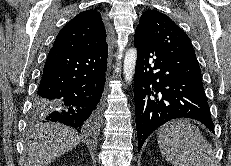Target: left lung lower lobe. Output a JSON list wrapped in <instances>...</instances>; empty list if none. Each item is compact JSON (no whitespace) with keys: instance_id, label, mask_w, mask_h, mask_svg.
I'll use <instances>...</instances> for the list:
<instances>
[{"instance_id":"0a47b994","label":"left lung lower lobe","mask_w":231,"mask_h":166,"mask_svg":"<svg viewBox=\"0 0 231 166\" xmlns=\"http://www.w3.org/2000/svg\"><path fill=\"white\" fill-rule=\"evenodd\" d=\"M138 50L134 97L138 149L158 127L175 118H192L214 126L196 56L159 48L135 33Z\"/></svg>"}]
</instances>
